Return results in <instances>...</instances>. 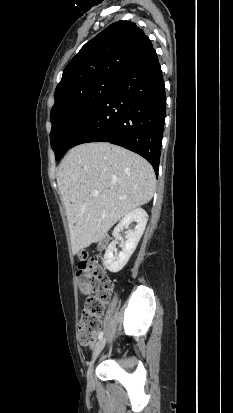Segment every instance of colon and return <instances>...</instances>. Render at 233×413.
I'll list each match as a JSON object with an SVG mask.
<instances>
[{
	"label": "colon",
	"mask_w": 233,
	"mask_h": 413,
	"mask_svg": "<svg viewBox=\"0 0 233 413\" xmlns=\"http://www.w3.org/2000/svg\"><path fill=\"white\" fill-rule=\"evenodd\" d=\"M77 281L81 294L90 296L81 313L78 329V340L84 346L94 343L100 318L104 312L105 304L109 298L111 284L104 281V271L97 260L87 252L79 254ZM100 287L102 289L100 290Z\"/></svg>",
	"instance_id": "5ec220e1"
}]
</instances>
